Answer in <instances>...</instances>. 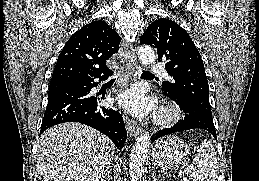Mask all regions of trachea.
Masks as SVG:
<instances>
[{
    "label": "trachea",
    "mask_w": 259,
    "mask_h": 181,
    "mask_svg": "<svg viewBox=\"0 0 259 181\" xmlns=\"http://www.w3.org/2000/svg\"><path fill=\"white\" fill-rule=\"evenodd\" d=\"M143 76H154V74L148 72V71H142Z\"/></svg>",
    "instance_id": "trachea-1"
}]
</instances>
